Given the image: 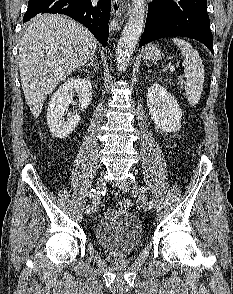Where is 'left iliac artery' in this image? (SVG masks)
<instances>
[{
    "label": "left iliac artery",
    "instance_id": "obj_1",
    "mask_svg": "<svg viewBox=\"0 0 233 294\" xmlns=\"http://www.w3.org/2000/svg\"><path fill=\"white\" fill-rule=\"evenodd\" d=\"M140 190H141L142 193H145L147 189H146V187H143V186H142V187L140 188ZM147 206H148L149 209H152V208L154 207L153 202H152V201H149V202L147 203Z\"/></svg>",
    "mask_w": 233,
    "mask_h": 294
}]
</instances>
